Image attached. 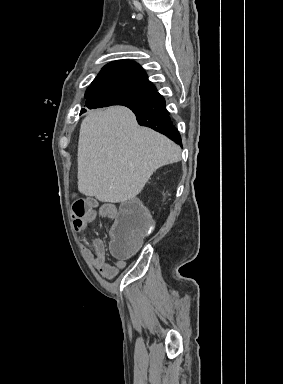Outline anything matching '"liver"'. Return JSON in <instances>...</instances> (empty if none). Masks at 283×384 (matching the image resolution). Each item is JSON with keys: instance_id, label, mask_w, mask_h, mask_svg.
Returning a JSON list of instances; mask_svg holds the SVG:
<instances>
[{"instance_id": "liver-1", "label": "liver", "mask_w": 283, "mask_h": 384, "mask_svg": "<svg viewBox=\"0 0 283 384\" xmlns=\"http://www.w3.org/2000/svg\"><path fill=\"white\" fill-rule=\"evenodd\" d=\"M181 160V148L141 128L128 108L90 110L78 142V190L100 202H126L142 192L153 172Z\"/></svg>"}]
</instances>
